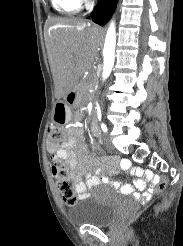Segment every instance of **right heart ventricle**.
Returning <instances> with one entry per match:
<instances>
[{"label":"right heart ventricle","mask_w":183,"mask_h":246,"mask_svg":"<svg viewBox=\"0 0 183 246\" xmlns=\"http://www.w3.org/2000/svg\"><path fill=\"white\" fill-rule=\"evenodd\" d=\"M55 11L63 15H73L80 9L79 0H50Z\"/></svg>","instance_id":"obj_1"}]
</instances>
